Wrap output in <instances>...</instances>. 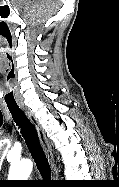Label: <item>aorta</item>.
Masks as SVG:
<instances>
[{
	"label": "aorta",
	"mask_w": 119,
	"mask_h": 187,
	"mask_svg": "<svg viewBox=\"0 0 119 187\" xmlns=\"http://www.w3.org/2000/svg\"><path fill=\"white\" fill-rule=\"evenodd\" d=\"M33 164L28 159H23L18 163H12L9 170V180H27L30 176Z\"/></svg>",
	"instance_id": "aorta-1"
}]
</instances>
